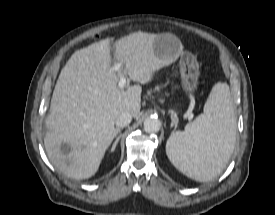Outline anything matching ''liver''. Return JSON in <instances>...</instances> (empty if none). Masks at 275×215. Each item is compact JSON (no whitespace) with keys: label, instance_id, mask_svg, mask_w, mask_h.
I'll use <instances>...</instances> for the list:
<instances>
[{"label":"liver","instance_id":"obj_1","mask_svg":"<svg viewBox=\"0 0 275 215\" xmlns=\"http://www.w3.org/2000/svg\"><path fill=\"white\" fill-rule=\"evenodd\" d=\"M157 36L135 32L113 46L105 39L77 50L63 67L45 121L48 131L44 144L49 160L66 176H93L120 131L115 127L117 116L124 111L134 118L139 116L141 87H118V75L111 70V49L113 59L123 65V73L134 82L146 84L156 71L178 58H160L154 52ZM63 144L69 150L64 151Z\"/></svg>","mask_w":275,"mask_h":215}]
</instances>
